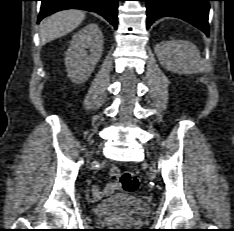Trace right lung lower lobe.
Instances as JSON below:
<instances>
[{"mask_svg": "<svg viewBox=\"0 0 234 231\" xmlns=\"http://www.w3.org/2000/svg\"><path fill=\"white\" fill-rule=\"evenodd\" d=\"M40 22L44 17L64 9H82L96 12L117 28L118 1L120 0H41Z\"/></svg>", "mask_w": 234, "mask_h": 231, "instance_id": "right-lung-lower-lobe-1", "label": "right lung lower lobe"}]
</instances>
